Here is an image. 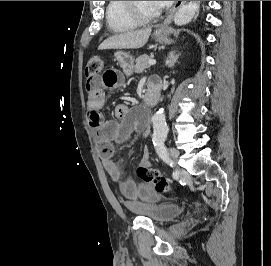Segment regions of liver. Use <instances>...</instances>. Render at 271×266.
Here are the masks:
<instances>
[{
	"label": "liver",
	"instance_id": "liver-1",
	"mask_svg": "<svg viewBox=\"0 0 271 266\" xmlns=\"http://www.w3.org/2000/svg\"><path fill=\"white\" fill-rule=\"evenodd\" d=\"M151 27L116 34L104 40L99 49H137L143 47L151 34Z\"/></svg>",
	"mask_w": 271,
	"mask_h": 266
}]
</instances>
